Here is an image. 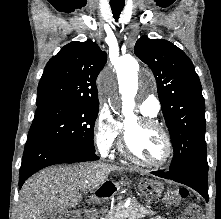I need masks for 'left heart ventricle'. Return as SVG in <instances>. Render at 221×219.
Instances as JSON below:
<instances>
[{
  "label": "left heart ventricle",
  "mask_w": 221,
  "mask_h": 219,
  "mask_svg": "<svg viewBox=\"0 0 221 219\" xmlns=\"http://www.w3.org/2000/svg\"><path fill=\"white\" fill-rule=\"evenodd\" d=\"M125 127L129 147L136 157L147 163H157L163 159L166 146L159 131L141 126L134 119L129 120Z\"/></svg>",
  "instance_id": "obj_1"
}]
</instances>
